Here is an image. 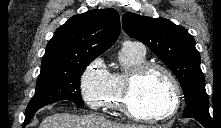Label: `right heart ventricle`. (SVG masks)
I'll list each match as a JSON object with an SVG mask.
<instances>
[{
	"label": "right heart ventricle",
	"instance_id": "e07e8e85",
	"mask_svg": "<svg viewBox=\"0 0 221 128\" xmlns=\"http://www.w3.org/2000/svg\"><path fill=\"white\" fill-rule=\"evenodd\" d=\"M146 61L145 52L133 46L124 45L119 54V67L109 72V84L102 98V108L106 112H122V91L129 72Z\"/></svg>",
	"mask_w": 221,
	"mask_h": 128
}]
</instances>
